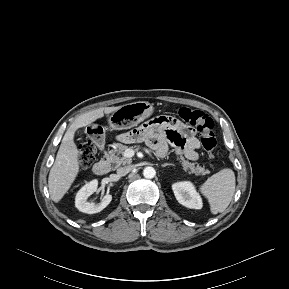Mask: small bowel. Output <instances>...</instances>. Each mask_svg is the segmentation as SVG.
<instances>
[{"label":"small bowel","instance_id":"small-bowel-1","mask_svg":"<svg viewBox=\"0 0 289 289\" xmlns=\"http://www.w3.org/2000/svg\"><path fill=\"white\" fill-rule=\"evenodd\" d=\"M129 138L146 142L160 157L166 154L169 143L177 153L183 154L187 159L198 158L200 141L195 130L171 117H160L145 122L133 130Z\"/></svg>","mask_w":289,"mask_h":289}]
</instances>
